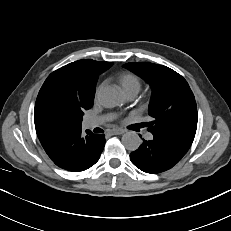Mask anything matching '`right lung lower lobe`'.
<instances>
[{
	"label": "right lung lower lobe",
	"mask_w": 231,
	"mask_h": 231,
	"mask_svg": "<svg viewBox=\"0 0 231 231\" xmlns=\"http://www.w3.org/2000/svg\"><path fill=\"white\" fill-rule=\"evenodd\" d=\"M82 136L81 130L62 135L43 146L51 160L60 168L79 172L94 165L105 145V136L86 131Z\"/></svg>",
	"instance_id": "right-lung-lower-lobe-1"
}]
</instances>
